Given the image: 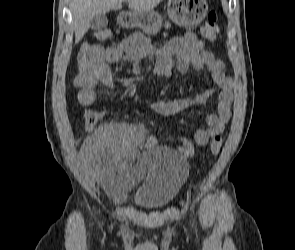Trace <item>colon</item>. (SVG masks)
Here are the masks:
<instances>
[{
	"mask_svg": "<svg viewBox=\"0 0 295 250\" xmlns=\"http://www.w3.org/2000/svg\"><path fill=\"white\" fill-rule=\"evenodd\" d=\"M219 33V18L215 11H211L205 23L201 27L200 34L206 41H211L217 37ZM111 37V33L107 29H100L94 33V38L97 41H107ZM95 45L85 44L81 47L78 53V64L82 67H88L91 61V54ZM102 117V112L97 109H87L83 113V122L87 130H92ZM222 141L214 139L210 144V151L216 155L220 152Z\"/></svg>",
	"mask_w": 295,
	"mask_h": 250,
	"instance_id": "colon-1",
	"label": "colon"
}]
</instances>
